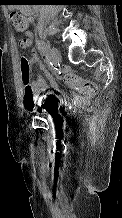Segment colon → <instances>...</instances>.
I'll return each instance as SVG.
<instances>
[{"label": "colon", "mask_w": 122, "mask_h": 218, "mask_svg": "<svg viewBox=\"0 0 122 218\" xmlns=\"http://www.w3.org/2000/svg\"><path fill=\"white\" fill-rule=\"evenodd\" d=\"M10 17L15 29L18 32L26 31L30 27L32 22L30 16L17 11L11 12ZM20 74L22 84L25 90V96H27L26 105L29 109H31L34 103L30 97L32 91L30 56L26 52L22 53L21 55ZM67 80L73 89L80 91L86 96H92L96 91L95 86L91 82L84 81L73 75L69 76Z\"/></svg>", "instance_id": "1"}]
</instances>
